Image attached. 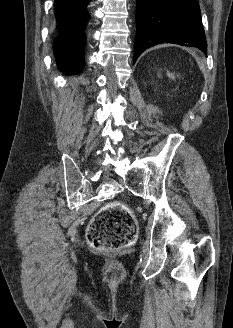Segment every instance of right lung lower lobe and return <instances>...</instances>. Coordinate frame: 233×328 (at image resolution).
Returning a JSON list of instances; mask_svg holds the SVG:
<instances>
[{"label":"right lung lower lobe","mask_w":233,"mask_h":328,"mask_svg":"<svg viewBox=\"0 0 233 328\" xmlns=\"http://www.w3.org/2000/svg\"><path fill=\"white\" fill-rule=\"evenodd\" d=\"M89 1L55 0L57 37L53 49L59 69L67 75L79 73L84 63V28L89 18L86 9Z\"/></svg>","instance_id":"obj_1"}]
</instances>
